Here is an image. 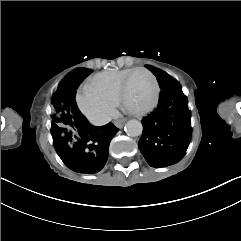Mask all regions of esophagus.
Wrapping results in <instances>:
<instances>
[{"label": "esophagus", "mask_w": 241, "mask_h": 241, "mask_svg": "<svg viewBox=\"0 0 241 241\" xmlns=\"http://www.w3.org/2000/svg\"><path fill=\"white\" fill-rule=\"evenodd\" d=\"M126 120H119V121H115L114 124L117 128H123L124 124H125Z\"/></svg>", "instance_id": "1"}]
</instances>
